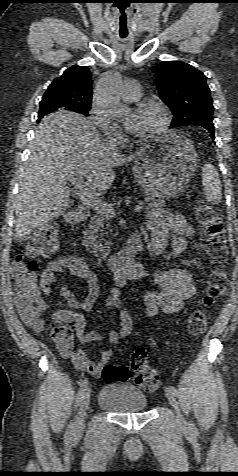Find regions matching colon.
<instances>
[{"instance_id": "obj_1", "label": "colon", "mask_w": 238, "mask_h": 476, "mask_svg": "<svg viewBox=\"0 0 238 476\" xmlns=\"http://www.w3.org/2000/svg\"><path fill=\"white\" fill-rule=\"evenodd\" d=\"M197 221L201 226V244L213 263L209 275L208 291L200 307L188 318V331L201 334L206 329L205 308L228 289V248L222 216L209 205H200L197 209ZM58 229L54 225L40 228L29 241L26 250L19 254L12 264L14 296L16 307L23 320L39 331L42 327L39 290L36 270L39 264L58 249ZM130 368L135 373L134 382L146 392H154L160 384V378L153 369L143 348H134L130 353ZM105 382H121L129 378V368L124 365L109 364L102 370Z\"/></svg>"}]
</instances>
